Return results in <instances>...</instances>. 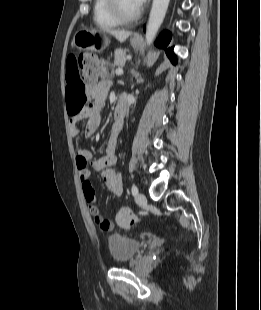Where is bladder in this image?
Listing matches in <instances>:
<instances>
[{"label":"bladder","instance_id":"31cf9c89","mask_svg":"<svg viewBox=\"0 0 261 310\" xmlns=\"http://www.w3.org/2000/svg\"><path fill=\"white\" fill-rule=\"evenodd\" d=\"M108 248L115 263H125L133 259L142 247V243L131 236L113 233L107 238Z\"/></svg>","mask_w":261,"mask_h":310}]
</instances>
